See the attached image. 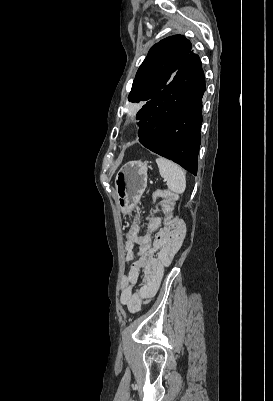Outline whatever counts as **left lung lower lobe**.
Here are the masks:
<instances>
[{
  "mask_svg": "<svg viewBox=\"0 0 273 401\" xmlns=\"http://www.w3.org/2000/svg\"><path fill=\"white\" fill-rule=\"evenodd\" d=\"M205 77L192 51L171 81L137 113L139 142L196 175Z\"/></svg>",
  "mask_w": 273,
  "mask_h": 401,
  "instance_id": "1",
  "label": "left lung lower lobe"
}]
</instances>
